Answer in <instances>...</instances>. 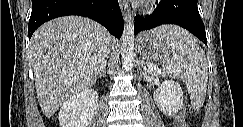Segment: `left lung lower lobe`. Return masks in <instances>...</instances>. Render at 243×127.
I'll use <instances>...</instances> for the list:
<instances>
[{"label": "left lung lower lobe", "instance_id": "1", "mask_svg": "<svg viewBox=\"0 0 243 127\" xmlns=\"http://www.w3.org/2000/svg\"><path fill=\"white\" fill-rule=\"evenodd\" d=\"M163 24L179 25L207 45L205 27L200 17L197 0H161L148 17H135L134 33L152 29Z\"/></svg>", "mask_w": 243, "mask_h": 127}]
</instances>
